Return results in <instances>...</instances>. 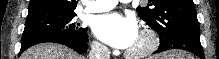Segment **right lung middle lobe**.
<instances>
[{"label": "right lung middle lobe", "instance_id": "dd1d6c3e", "mask_svg": "<svg viewBox=\"0 0 219 59\" xmlns=\"http://www.w3.org/2000/svg\"><path fill=\"white\" fill-rule=\"evenodd\" d=\"M76 14L39 10L28 13L21 47L54 38H70L87 42V29L74 22Z\"/></svg>", "mask_w": 219, "mask_h": 59}]
</instances>
